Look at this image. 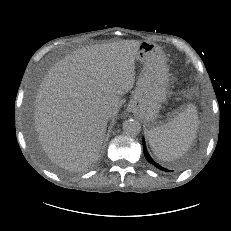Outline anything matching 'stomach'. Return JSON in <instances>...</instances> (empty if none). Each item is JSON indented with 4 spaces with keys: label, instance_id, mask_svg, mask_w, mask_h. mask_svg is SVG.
Wrapping results in <instances>:
<instances>
[{
    "label": "stomach",
    "instance_id": "obj_1",
    "mask_svg": "<svg viewBox=\"0 0 231 231\" xmlns=\"http://www.w3.org/2000/svg\"><path fill=\"white\" fill-rule=\"evenodd\" d=\"M136 60L142 64L128 110L150 126L156 124L161 104L166 100L169 73L163 52L156 44L140 42Z\"/></svg>",
    "mask_w": 231,
    "mask_h": 231
}]
</instances>
